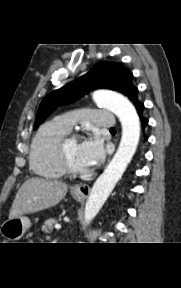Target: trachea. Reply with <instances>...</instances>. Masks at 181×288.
Wrapping results in <instances>:
<instances>
[{
  "label": "trachea",
  "instance_id": "trachea-1",
  "mask_svg": "<svg viewBox=\"0 0 181 288\" xmlns=\"http://www.w3.org/2000/svg\"><path fill=\"white\" fill-rule=\"evenodd\" d=\"M110 130H111V131H115V128L112 127Z\"/></svg>",
  "mask_w": 181,
  "mask_h": 288
}]
</instances>
